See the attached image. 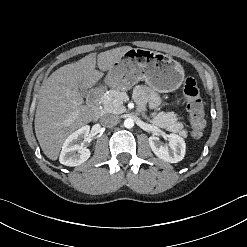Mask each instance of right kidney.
<instances>
[{"label":"right kidney","instance_id":"right-kidney-1","mask_svg":"<svg viewBox=\"0 0 247 247\" xmlns=\"http://www.w3.org/2000/svg\"><path fill=\"white\" fill-rule=\"evenodd\" d=\"M90 127L83 126L70 134L62 146L59 161L66 166H78L90 157V150L81 145L82 139L89 135Z\"/></svg>","mask_w":247,"mask_h":247}]
</instances>
